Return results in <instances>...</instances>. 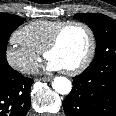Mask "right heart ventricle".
I'll return each mask as SVG.
<instances>
[{"mask_svg": "<svg viewBox=\"0 0 116 116\" xmlns=\"http://www.w3.org/2000/svg\"><path fill=\"white\" fill-rule=\"evenodd\" d=\"M66 21L35 20L20 28L16 35L33 52H43L54 32Z\"/></svg>", "mask_w": 116, "mask_h": 116, "instance_id": "obj_1", "label": "right heart ventricle"}]
</instances>
